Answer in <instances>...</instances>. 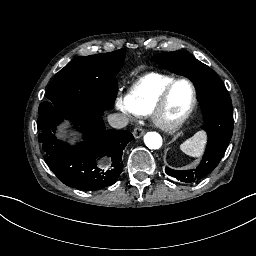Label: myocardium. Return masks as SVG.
Listing matches in <instances>:
<instances>
[{"instance_id":"f54148a6","label":"myocardium","mask_w":256,"mask_h":256,"mask_svg":"<svg viewBox=\"0 0 256 256\" xmlns=\"http://www.w3.org/2000/svg\"><path fill=\"white\" fill-rule=\"evenodd\" d=\"M185 82L189 85L192 93V101L190 107L179 117L173 118L170 122V125L168 127H161L165 132L171 133L174 130H176L179 126H181L193 113V111L196 108L197 105V95H196V89L192 81L186 77H180L172 81L168 87L154 100L153 102H146V104L152 108L153 110H158L164 107L168 99L171 95V92L173 91L174 87L180 83ZM149 115H152L151 113H146Z\"/></svg>"}]
</instances>
